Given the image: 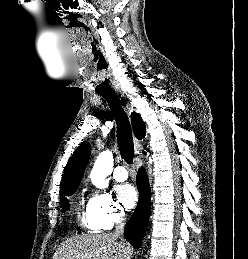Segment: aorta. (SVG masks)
<instances>
[{
  "mask_svg": "<svg viewBox=\"0 0 248 259\" xmlns=\"http://www.w3.org/2000/svg\"><path fill=\"white\" fill-rule=\"evenodd\" d=\"M113 167V154L109 150L103 151L96 159L90 174L91 182L98 188H105L108 184L107 176Z\"/></svg>",
  "mask_w": 248,
  "mask_h": 259,
  "instance_id": "aorta-1",
  "label": "aorta"
}]
</instances>
